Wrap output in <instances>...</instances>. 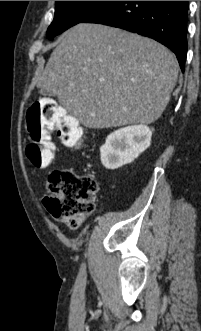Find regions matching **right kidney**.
Listing matches in <instances>:
<instances>
[{
    "instance_id": "obj_1",
    "label": "right kidney",
    "mask_w": 201,
    "mask_h": 331,
    "mask_svg": "<svg viewBox=\"0 0 201 331\" xmlns=\"http://www.w3.org/2000/svg\"><path fill=\"white\" fill-rule=\"evenodd\" d=\"M152 131L146 125L120 128L109 134L100 148L101 162L107 169H117L133 162L151 144Z\"/></svg>"
}]
</instances>
